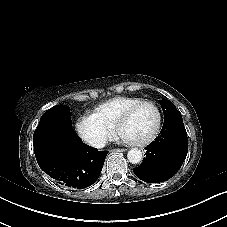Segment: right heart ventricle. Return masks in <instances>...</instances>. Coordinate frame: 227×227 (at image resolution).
<instances>
[{
    "label": "right heart ventricle",
    "mask_w": 227,
    "mask_h": 227,
    "mask_svg": "<svg viewBox=\"0 0 227 227\" xmlns=\"http://www.w3.org/2000/svg\"><path fill=\"white\" fill-rule=\"evenodd\" d=\"M140 98L116 97L99 105L89 116L96 124L114 127L124 115L138 102Z\"/></svg>",
    "instance_id": "e07e8e85"
}]
</instances>
